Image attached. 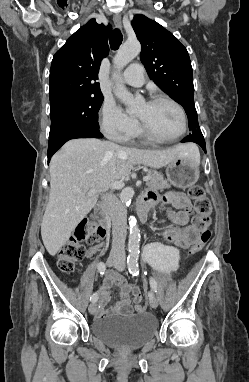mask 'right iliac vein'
Instances as JSON below:
<instances>
[{"mask_svg": "<svg viewBox=\"0 0 249 382\" xmlns=\"http://www.w3.org/2000/svg\"><path fill=\"white\" fill-rule=\"evenodd\" d=\"M119 260H120V257H118V256H109L107 258V262H106L107 266L111 267V266L115 265ZM96 309H97V304L95 302H92L89 305L88 311L90 314H94L96 312Z\"/></svg>", "mask_w": 249, "mask_h": 382, "instance_id": "63e3f726", "label": "right iliac vein"}]
</instances>
